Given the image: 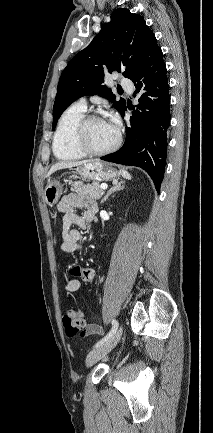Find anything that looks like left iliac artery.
<instances>
[{
    "mask_svg": "<svg viewBox=\"0 0 213 433\" xmlns=\"http://www.w3.org/2000/svg\"><path fill=\"white\" fill-rule=\"evenodd\" d=\"M117 329H118V322H117V320L113 319L112 320V329L109 331V333L105 337H103L100 341H98L94 347H98V346L102 345L104 342H106L116 332Z\"/></svg>",
    "mask_w": 213,
    "mask_h": 433,
    "instance_id": "1",
    "label": "left iliac artery"
}]
</instances>
